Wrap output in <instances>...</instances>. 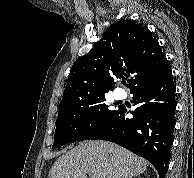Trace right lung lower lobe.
<instances>
[{
	"mask_svg": "<svg viewBox=\"0 0 194 178\" xmlns=\"http://www.w3.org/2000/svg\"><path fill=\"white\" fill-rule=\"evenodd\" d=\"M134 96L133 118H125L126 108L120 107L87 139L114 142L147 159L165 178L173 131L175 127V85L169 70L159 80L130 91Z\"/></svg>",
	"mask_w": 194,
	"mask_h": 178,
	"instance_id": "98d812e1",
	"label": "right lung lower lobe"
}]
</instances>
